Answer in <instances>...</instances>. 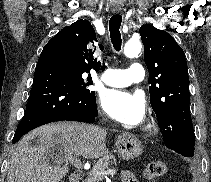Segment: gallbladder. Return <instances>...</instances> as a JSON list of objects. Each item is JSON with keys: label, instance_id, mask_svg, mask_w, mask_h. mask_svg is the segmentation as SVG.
Returning a JSON list of instances; mask_svg holds the SVG:
<instances>
[{"label": "gallbladder", "instance_id": "bac80fb5", "mask_svg": "<svg viewBox=\"0 0 211 182\" xmlns=\"http://www.w3.org/2000/svg\"><path fill=\"white\" fill-rule=\"evenodd\" d=\"M60 153H61L60 148L55 147L47 154V159L54 160L56 158V156H58Z\"/></svg>", "mask_w": 211, "mask_h": 182}]
</instances>
